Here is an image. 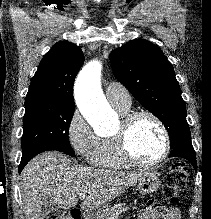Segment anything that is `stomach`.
Masks as SVG:
<instances>
[{"mask_svg": "<svg viewBox=\"0 0 211 219\" xmlns=\"http://www.w3.org/2000/svg\"><path fill=\"white\" fill-rule=\"evenodd\" d=\"M161 184V180L159 178V173L155 171H148V174L138 182L137 189L141 194H150L155 192ZM108 212V208L101 207L92 212L98 217L106 214Z\"/></svg>", "mask_w": 211, "mask_h": 219, "instance_id": "1", "label": "stomach"}]
</instances>
